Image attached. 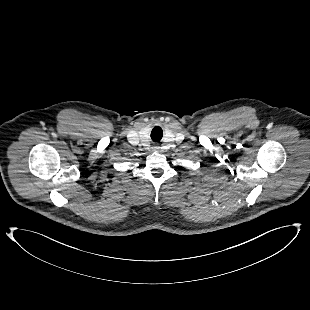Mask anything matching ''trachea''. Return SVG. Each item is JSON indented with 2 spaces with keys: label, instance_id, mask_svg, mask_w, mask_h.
<instances>
[{
  "label": "trachea",
  "instance_id": "obj_1",
  "mask_svg": "<svg viewBox=\"0 0 310 310\" xmlns=\"http://www.w3.org/2000/svg\"><path fill=\"white\" fill-rule=\"evenodd\" d=\"M163 132L160 127H155L151 132V138L153 141H160L162 138Z\"/></svg>",
  "mask_w": 310,
  "mask_h": 310
}]
</instances>
